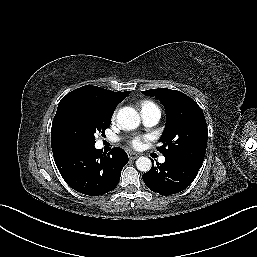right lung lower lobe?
Masks as SVG:
<instances>
[{
    "label": "right lung lower lobe",
    "instance_id": "1",
    "mask_svg": "<svg viewBox=\"0 0 257 257\" xmlns=\"http://www.w3.org/2000/svg\"><path fill=\"white\" fill-rule=\"evenodd\" d=\"M53 156L60 174L69 186L91 196L112 191L128 162L126 152L118 147L106 155L94 146H77L53 152Z\"/></svg>",
    "mask_w": 257,
    "mask_h": 257
}]
</instances>
